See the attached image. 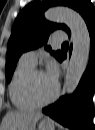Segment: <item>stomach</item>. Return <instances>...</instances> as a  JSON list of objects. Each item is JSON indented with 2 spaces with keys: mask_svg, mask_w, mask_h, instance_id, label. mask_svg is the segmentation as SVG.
Returning a JSON list of instances; mask_svg holds the SVG:
<instances>
[{
  "mask_svg": "<svg viewBox=\"0 0 95 130\" xmlns=\"http://www.w3.org/2000/svg\"><path fill=\"white\" fill-rule=\"evenodd\" d=\"M38 130H55L54 122H40Z\"/></svg>",
  "mask_w": 95,
  "mask_h": 130,
  "instance_id": "0dacf381",
  "label": "stomach"
}]
</instances>
